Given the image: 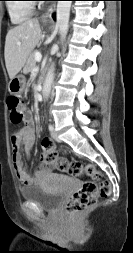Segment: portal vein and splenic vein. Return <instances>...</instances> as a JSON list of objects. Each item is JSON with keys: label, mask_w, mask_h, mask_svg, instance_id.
I'll return each instance as SVG.
<instances>
[{"label": "portal vein and splenic vein", "mask_w": 133, "mask_h": 253, "mask_svg": "<svg viewBox=\"0 0 133 253\" xmlns=\"http://www.w3.org/2000/svg\"><path fill=\"white\" fill-rule=\"evenodd\" d=\"M19 44H20V43H19ZM41 59H42L41 53H40V52H36V53H35V60L38 61V62H40Z\"/></svg>", "instance_id": "obj_1"}]
</instances>
